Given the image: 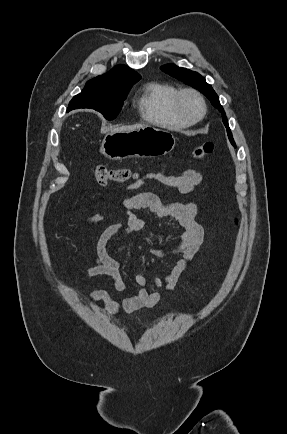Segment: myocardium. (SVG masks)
I'll use <instances>...</instances> for the list:
<instances>
[{
    "instance_id": "1",
    "label": "myocardium",
    "mask_w": 287,
    "mask_h": 434,
    "mask_svg": "<svg viewBox=\"0 0 287 434\" xmlns=\"http://www.w3.org/2000/svg\"><path fill=\"white\" fill-rule=\"evenodd\" d=\"M186 96H192L199 102L200 113L197 116H190L185 112L183 108V100ZM172 104L176 115L189 124H193L200 121L206 113V102L203 95L199 91L193 88H184L177 91L173 98Z\"/></svg>"
}]
</instances>
